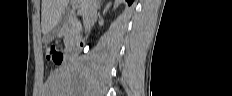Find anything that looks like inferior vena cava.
I'll return each instance as SVG.
<instances>
[{"instance_id":"602c4592","label":"inferior vena cava","mask_w":232,"mask_h":96,"mask_svg":"<svg viewBox=\"0 0 232 96\" xmlns=\"http://www.w3.org/2000/svg\"><path fill=\"white\" fill-rule=\"evenodd\" d=\"M97 16V0H87L83 13L85 33L90 32L93 20Z\"/></svg>"}]
</instances>
